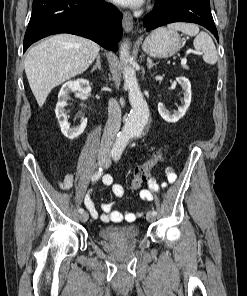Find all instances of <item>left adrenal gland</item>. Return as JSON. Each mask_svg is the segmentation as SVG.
I'll list each match as a JSON object with an SVG mask.
<instances>
[{
	"label": "left adrenal gland",
	"mask_w": 247,
	"mask_h": 296,
	"mask_svg": "<svg viewBox=\"0 0 247 296\" xmlns=\"http://www.w3.org/2000/svg\"><path fill=\"white\" fill-rule=\"evenodd\" d=\"M156 63H153L152 60L148 57L147 58V67L150 70L153 66H156Z\"/></svg>",
	"instance_id": "obj_1"
}]
</instances>
